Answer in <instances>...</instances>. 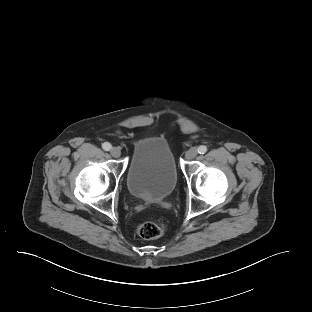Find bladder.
Instances as JSON below:
<instances>
[{"label":"bladder","instance_id":"bladder-1","mask_svg":"<svg viewBox=\"0 0 312 312\" xmlns=\"http://www.w3.org/2000/svg\"><path fill=\"white\" fill-rule=\"evenodd\" d=\"M178 178L175 156L165 138L149 136L136 143L126 175L132 196L145 202L160 201L174 191Z\"/></svg>","mask_w":312,"mask_h":312}]
</instances>
